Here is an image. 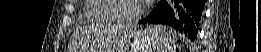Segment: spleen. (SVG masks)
Masks as SVG:
<instances>
[{
    "mask_svg": "<svg viewBox=\"0 0 261 52\" xmlns=\"http://www.w3.org/2000/svg\"><path fill=\"white\" fill-rule=\"evenodd\" d=\"M150 27L154 29V35L158 41V52H173L175 47V33L173 31H167L166 28L161 26Z\"/></svg>",
    "mask_w": 261,
    "mask_h": 52,
    "instance_id": "1",
    "label": "spleen"
}]
</instances>
